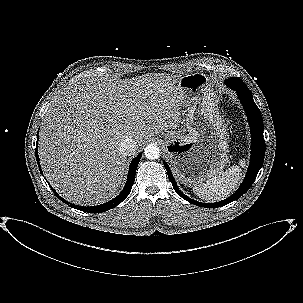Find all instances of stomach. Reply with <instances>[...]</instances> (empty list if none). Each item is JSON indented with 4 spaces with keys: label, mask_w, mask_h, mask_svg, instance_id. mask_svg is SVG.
<instances>
[{
    "label": "stomach",
    "mask_w": 303,
    "mask_h": 303,
    "mask_svg": "<svg viewBox=\"0 0 303 303\" xmlns=\"http://www.w3.org/2000/svg\"><path fill=\"white\" fill-rule=\"evenodd\" d=\"M181 108L186 114L188 134L165 135V147L178 180L195 186L221 173L227 166V132L219 113L217 95L203 73L182 76Z\"/></svg>",
    "instance_id": "obj_1"
}]
</instances>
